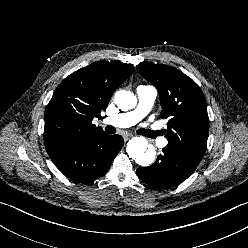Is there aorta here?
<instances>
[{
  "instance_id": "1",
  "label": "aorta",
  "mask_w": 248,
  "mask_h": 248,
  "mask_svg": "<svg viewBox=\"0 0 248 248\" xmlns=\"http://www.w3.org/2000/svg\"><path fill=\"white\" fill-rule=\"evenodd\" d=\"M116 105L123 110H130L136 106L137 99L129 91L120 90L115 94ZM148 148V141L144 137H133L127 143L126 151L130 158L135 159L141 166H149L155 160V149Z\"/></svg>"
}]
</instances>
